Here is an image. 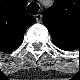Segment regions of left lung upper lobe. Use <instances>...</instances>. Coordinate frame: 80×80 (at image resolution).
<instances>
[{"instance_id":"5c2ea615","label":"left lung upper lobe","mask_w":80,"mask_h":80,"mask_svg":"<svg viewBox=\"0 0 80 80\" xmlns=\"http://www.w3.org/2000/svg\"><path fill=\"white\" fill-rule=\"evenodd\" d=\"M69 1L56 0L54 7L47 10L43 16V23L58 46H68L76 33V23Z\"/></svg>"}]
</instances>
